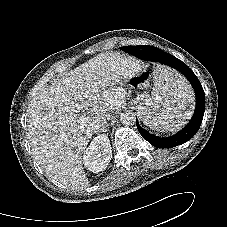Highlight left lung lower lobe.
Masks as SVG:
<instances>
[{
	"label": "left lung lower lobe",
	"instance_id": "left-lung-lower-lobe-1",
	"mask_svg": "<svg viewBox=\"0 0 227 227\" xmlns=\"http://www.w3.org/2000/svg\"><path fill=\"white\" fill-rule=\"evenodd\" d=\"M127 52L146 61H156L169 65L181 72L190 81L196 94V109L190 122L177 134L160 138L148 133L137 121V129L142 137L150 144L158 148H172L189 141L198 131L205 111L204 90L193 71L181 60L153 46H132Z\"/></svg>",
	"mask_w": 227,
	"mask_h": 227
}]
</instances>
